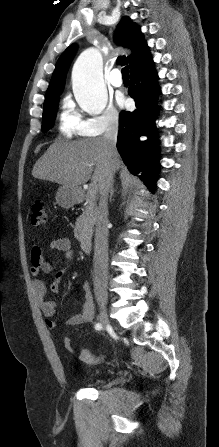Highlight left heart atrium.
I'll return each instance as SVG.
<instances>
[{
	"label": "left heart atrium",
	"mask_w": 219,
	"mask_h": 447,
	"mask_svg": "<svg viewBox=\"0 0 219 447\" xmlns=\"http://www.w3.org/2000/svg\"><path fill=\"white\" fill-rule=\"evenodd\" d=\"M118 103L123 106L125 104V99L124 98H119L118 99Z\"/></svg>",
	"instance_id": "39dd6f15"
}]
</instances>
